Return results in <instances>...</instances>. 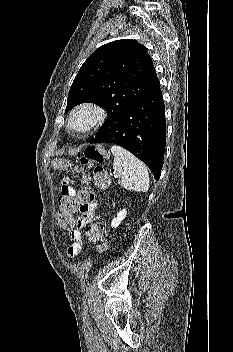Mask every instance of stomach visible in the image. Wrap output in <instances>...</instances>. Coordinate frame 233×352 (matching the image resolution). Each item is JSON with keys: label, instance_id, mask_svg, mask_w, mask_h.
<instances>
[{"label": "stomach", "instance_id": "0dacf381", "mask_svg": "<svg viewBox=\"0 0 233 352\" xmlns=\"http://www.w3.org/2000/svg\"><path fill=\"white\" fill-rule=\"evenodd\" d=\"M53 165L55 168H62L64 165V161L62 160H54Z\"/></svg>", "mask_w": 233, "mask_h": 352}]
</instances>
